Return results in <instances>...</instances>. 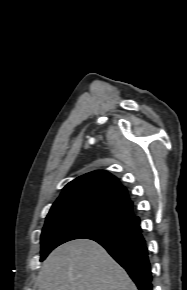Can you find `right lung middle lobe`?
<instances>
[{
    "label": "right lung middle lobe",
    "instance_id": "1",
    "mask_svg": "<svg viewBox=\"0 0 187 290\" xmlns=\"http://www.w3.org/2000/svg\"><path fill=\"white\" fill-rule=\"evenodd\" d=\"M131 222L101 207H77L49 214L41 235V259L57 246L74 239L118 231Z\"/></svg>",
    "mask_w": 187,
    "mask_h": 290
}]
</instances>
